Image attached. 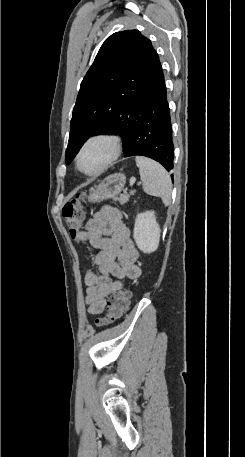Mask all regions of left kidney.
<instances>
[{
    "label": "left kidney",
    "instance_id": "1",
    "mask_svg": "<svg viewBox=\"0 0 245 457\" xmlns=\"http://www.w3.org/2000/svg\"><path fill=\"white\" fill-rule=\"evenodd\" d=\"M161 229L156 220L154 210L140 212L135 218L133 237L143 253H153L158 249Z\"/></svg>",
    "mask_w": 245,
    "mask_h": 457
}]
</instances>
